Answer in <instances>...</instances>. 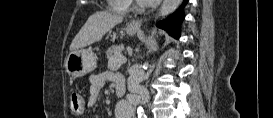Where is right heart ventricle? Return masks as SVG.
<instances>
[{"instance_id":"e07e8e85","label":"right heart ventricle","mask_w":273,"mask_h":118,"mask_svg":"<svg viewBox=\"0 0 273 118\" xmlns=\"http://www.w3.org/2000/svg\"><path fill=\"white\" fill-rule=\"evenodd\" d=\"M112 9L118 13L126 12L128 9V1L110 0Z\"/></svg>"}]
</instances>
